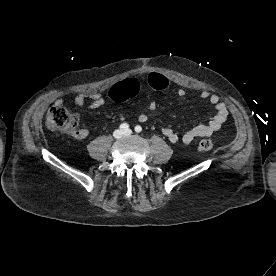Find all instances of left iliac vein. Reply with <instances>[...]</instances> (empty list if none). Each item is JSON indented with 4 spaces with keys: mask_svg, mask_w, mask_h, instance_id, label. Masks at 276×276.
<instances>
[{
    "mask_svg": "<svg viewBox=\"0 0 276 276\" xmlns=\"http://www.w3.org/2000/svg\"><path fill=\"white\" fill-rule=\"evenodd\" d=\"M131 133H132L131 130H126V131L124 132V135H130Z\"/></svg>",
    "mask_w": 276,
    "mask_h": 276,
    "instance_id": "obj_1",
    "label": "left iliac vein"
}]
</instances>
